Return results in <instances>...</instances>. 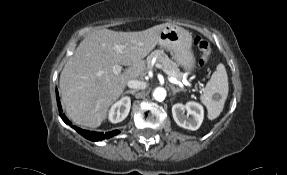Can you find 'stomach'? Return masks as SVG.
Instances as JSON below:
<instances>
[{"mask_svg":"<svg viewBox=\"0 0 287 175\" xmlns=\"http://www.w3.org/2000/svg\"><path fill=\"white\" fill-rule=\"evenodd\" d=\"M159 45L169 51L176 63L191 73L196 66L192 35L182 27L168 25L159 35Z\"/></svg>","mask_w":287,"mask_h":175,"instance_id":"1","label":"stomach"}]
</instances>
